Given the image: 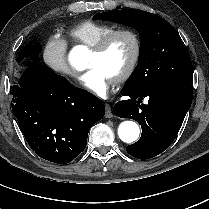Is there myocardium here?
Returning <instances> with one entry per match:
<instances>
[{"label":"myocardium","mask_w":209,"mask_h":209,"mask_svg":"<svg viewBox=\"0 0 209 209\" xmlns=\"http://www.w3.org/2000/svg\"><path fill=\"white\" fill-rule=\"evenodd\" d=\"M127 36L133 42V54L128 62L125 69L121 72V74L116 78L117 83L125 82L134 72L142 53V41L139 34L129 28H120L115 29L109 34H107L104 38H102L98 43L91 47V52L95 55H103L108 48L110 47L113 40L118 36Z\"/></svg>","instance_id":"myocardium-1"}]
</instances>
